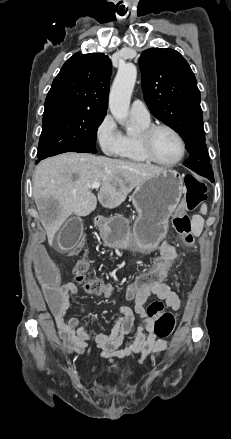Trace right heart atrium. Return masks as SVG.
Instances as JSON below:
<instances>
[{"label": "right heart atrium", "instance_id": "right-heart-atrium-1", "mask_svg": "<svg viewBox=\"0 0 231 439\" xmlns=\"http://www.w3.org/2000/svg\"><path fill=\"white\" fill-rule=\"evenodd\" d=\"M95 137L104 154L117 155L122 144V133L110 114H106L98 123Z\"/></svg>", "mask_w": 231, "mask_h": 439}]
</instances>
